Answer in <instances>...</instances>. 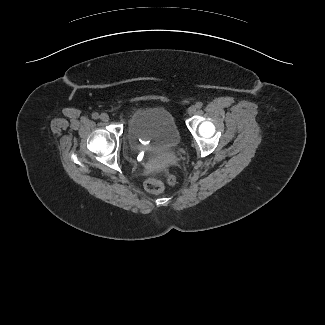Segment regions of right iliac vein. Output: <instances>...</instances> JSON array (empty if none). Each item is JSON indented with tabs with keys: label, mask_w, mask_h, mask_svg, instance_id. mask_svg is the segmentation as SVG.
I'll use <instances>...</instances> for the list:
<instances>
[{
	"label": "right iliac vein",
	"mask_w": 325,
	"mask_h": 325,
	"mask_svg": "<svg viewBox=\"0 0 325 325\" xmlns=\"http://www.w3.org/2000/svg\"><path fill=\"white\" fill-rule=\"evenodd\" d=\"M100 119H101L102 121H104V122H107V121L109 120V116H108V114H106V113H102V114L100 115Z\"/></svg>",
	"instance_id": "obj_1"
}]
</instances>
